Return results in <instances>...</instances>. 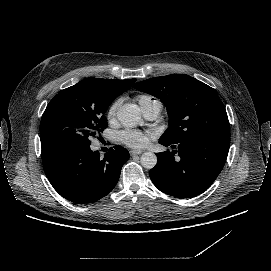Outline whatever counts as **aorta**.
I'll return each mask as SVG.
<instances>
[{
  "label": "aorta",
  "mask_w": 271,
  "mask_h": 271,
  "mask_svg": "<svg viewBox=\"0 0 271 271\" xmlns=\"http://www.w3.org/2000/svg\"><path fill=\"white\" fill-rule=\"evenodd\" d=\"M117 118L125 127L142 125L140 108L136 104L126 103L117 111ZM141 165L146 169H152L157 164V156L152 152H145L140 158Z\"/></svg>",
  "instance_id": "obj_1"
}]
</instances>
